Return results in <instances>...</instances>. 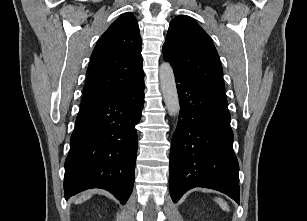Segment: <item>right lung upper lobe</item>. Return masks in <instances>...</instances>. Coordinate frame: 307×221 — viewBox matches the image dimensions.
Wrapping results in <instances>:
<instances>
[{
  "instance_id": "right-lung-upper-lobe-1",
  "label": "right lung upper lobe",
  "mask_w": 307,
  "mask_h": 221,
  "mask_svg": "<svg viewBox=\"0 0 307 221\" xmlns=\"http://www.w3.org/2000/svg\"><path fill=\"white\" fill-rule=\"evenodd\" d=\"M141 50L137 20L132 13L122 14L100 37L92 52L81 107L143 81Z\"/></svg>"
}]
</instances>
